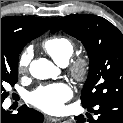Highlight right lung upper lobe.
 I'll list each match as a JSON object with an SVG mask.
<instances>
[{"mask_svg":"<svg viewBox=\"0 0 123 123\" xmlns=\"http://www.w3.org/2000/svg\"><path fill=\"white\" fill-rule=\"evenodd\" d=\"M56 20L29 16L1 18V54L11 53L31 38L42 35Z\"/></svg>","mask_w":123,"mask_h":123,"instance_id":"right-lung-upper-lobe-1","label":"right lung upper lobe"}]
</instances>
